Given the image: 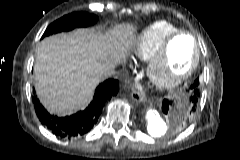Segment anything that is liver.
<instances>
[{
	"label": "liver",
	"mask_w": 240,
	"mask_h": 160,
	"mask_svg": "<svg viewBox=\"0 0 240 160\" xmlns=\"http://www.w3.org/2000/svg\"><path fill=\"white\" fill-rule=\"evenodd\" d=\"M135 27L120 24L106 33L77 29L43 39L36 51L35 88L43 106L58 116L86 106L106 67L124 61Z\"/></svg>",
	"instance_id": "obj_1"
}]
</instances>
